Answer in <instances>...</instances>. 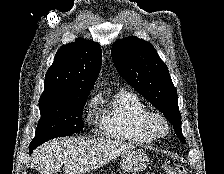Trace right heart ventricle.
Masks as SVG:
<instances>
[{"label":"right heart ventricle","mask_w":224,"mask_h":174,"mask_svg":"<svg viewBox=\"0 0 224 174\" xmlns=\"http://www.w3.org/2000/svg\"><path fill=\"white\" fill-rule=\"evenodd\" d=\"M100 102L99 129L103 135L138 144L153 141L141 126V119L148 110L135 93L120 90Z\"/></svg>","instance_id":"1"}]
</instances>
